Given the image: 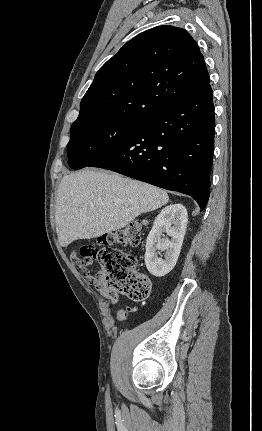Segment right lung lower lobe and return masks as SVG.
Returning <instances> with one entry per match:
<instances>
[{"label":"right lung lower lobe","mask_w":262,"mask_h":431,"mask_svg":"<svg viewBox=\"0 0 262 431\" xmlns=\"http://www.w3.org/2000/svg\"><path fill=\"white\" fill-rule=\"evenodd\" d=\"M212 98L209 85L198 95L145 117L131 135L89 167L190 195L204 209L214 149Z\"/></svg>","instance_id":"obj_1"}]
</instances>
